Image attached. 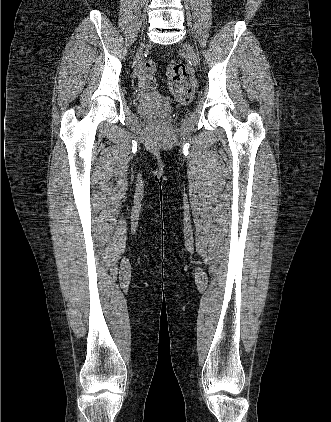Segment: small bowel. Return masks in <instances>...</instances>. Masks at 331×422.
Here are the masks:
<instances>
[{
    "label": "small bowel",
    "mask_w": 331,
    "mask_h": 422,
    "mask_svg": "<svg viewBox=\"0 0 331 422\" xmlns=\"http://www.w3.org/2000/svg\"><path fill=\"white\" fill-rule=\"evenodd\" d=\"M139 77H140V91L142 93H148L149 91H151L154 87V81L151 80H146L144 78L141 77L140 73H139Z\"/></svg>",
    "instance_id": "c3829d8e"
}]
</instances>
